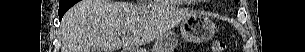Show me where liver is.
I'll use <instances>...</instances> for the list:
<instances>
[{
  "mask_svg": "<svg viewBox=\"0 0 305 52\" xmlns=\"http://www.w3.org/2000/svg\"><path fill=\"white\" fill-rule=\"evenodd\" d=\"M190 15L188 11L163 5L82 0L62 19L61 52H97L98 49L116 52L121 47L131 50L159 39Z\"/></svg>",
  "mask_w": 305,
  "mask_h": 52,
  "instance_id": "6515ba94",
  "label": "liver"
}]
</instances>
